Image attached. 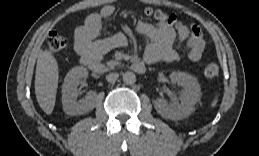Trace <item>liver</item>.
I'll use <instances>...</instances> for the list:
<instances>
[{"instance_id":"liver-1","label":"liver","mask_w":259,"mask_h":156,"mask_svg":"<svg viewBox=\"0 0 259 156\" xmlns=\"http://www.w3.org/2000/svg\"><path fill=\"white\" fill-rule=\"evenodd\" d=\"M59 70L56 59L49 51L38 55L35 73V94L41 109L50 115L55 106Z\"/></svg>"}]
</instances>
